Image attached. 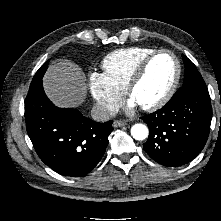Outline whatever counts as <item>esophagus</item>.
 I'll return each instance as SVG.
<instances>
[{"instance_id": "1", "label": "esophagus", "mask_w": 221, "mask_h": 221, "mask_svg": "<svg viewBox=\"0 0 221 221\" xmlns=\"http://www.w3.org/2000/svg\"><path fill=\"white\" fill-rule=\"evenodd\" d=\"M125 125H127V122H125V121H117V120L114 121L113 124H112V126L114 128L122 127V126H125Z\"/></svg>"}]
</instances>
